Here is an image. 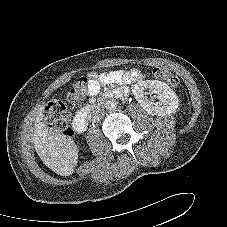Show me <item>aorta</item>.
Instances as JSON below:
<instances>
[{
  "instance_id": "1",
  "label": "aorta",
  "mask_w": 227,
  "mask_h": 227,
  "mask_svg": "<svg viewBox=\"0 0 227 227\" xmlns=\"http://www.w3.org/2000/svg\"><path fill=\"white\" fill-rule=\"evenodd\" d=\"M106 110L114 111L117 107V102L114 99H109L104 104Z\"/></svg>"
}]
</instances>
